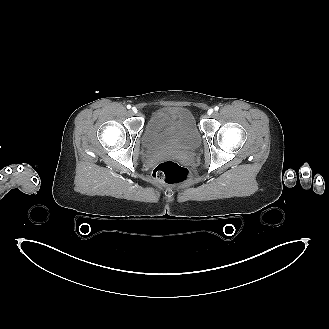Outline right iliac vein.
<instances>
[{"label": "right iliac vein", "instance_id": "obj_1", "mask_svg": "<svg viewBox=\"0 0 329 329\" xmlns=\"http://www.w3.org/2000/svg\"><path fill=\"white\" fill-rule=\"evenodd\" d=\"M132 111H133L134 113H137V112H138L137 108H135V107L132 108Z\"/></svg>", "mask_w": 329, "mask_h": 329}]
</instances>
